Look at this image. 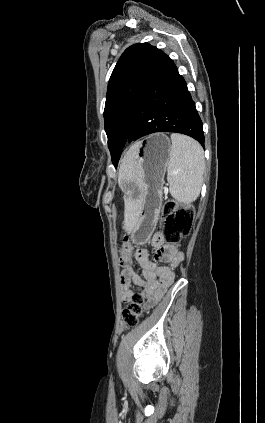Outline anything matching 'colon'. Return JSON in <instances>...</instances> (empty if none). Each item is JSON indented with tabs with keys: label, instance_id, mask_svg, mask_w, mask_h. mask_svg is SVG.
I'll return each instance as SVG.
<instances>
[{
	"label": "colon",
	"instance_id": "1",
	"mask_svg": "<svg viewBox=\"0 0 265 423\" xmlns=\"http://www.w3.org/2000/svg\"><path fill=\"white\" fill-rule=\"evenodd\" d=\"M163 236L169 244H179L192 230L195 210L191 206L180 205L175 200H168L163 207ZM132 247L127 237L121 244V255H128ZM143 297L134 293L131 303L124 309L122 322L127 328L136 327L144 315Z\"/></svg>",
	"mask_w": 265,
	"mask_h": 423
}]
</instances>
